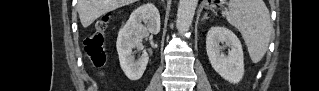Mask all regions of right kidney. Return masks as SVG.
<instances>
[{
    "mask_svg": "<svg viewBox=\"0 0 319 91\" xmlns=\"http://www.w3.org/2000/svg\"><path fill=\"white\" fill-rule=\"evenodd\" d=\"M145 25H144V24ZM160 31V14L155 5L144 4L135 9L127 23L119 31L116 47L120 66L125 75L132 81L140 79L146 69L149 57L146 52L135 60L133 48L142 50V40L149 33L158 34Z\"/></svg>",
    "mask_w": 319,
    "mask_h": 91,
    "instance_id": "obj_1",
    "label": "right kidney"
}]
</instances>
